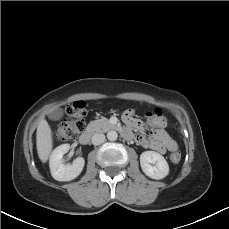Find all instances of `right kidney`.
<instances>
[{
	"label": "right kidney",
	"instance_id": "obj_1",
	"mask_svg": "<svg viewBox=\"0 0 229 229\" xmlns=\"http://www.w3.org/2000/svg\"><path fill=\"white\" fill-rule=\"evenodd\" d=\"M70 149L69 144H62L55 148L50 156V170L52 177L57 181H71L83 170L85 160L78 157L72 164L63 163V155Z\"/></svg>",
	"mask_w": 229,
	"mask_h": 229
}]
</instances>
